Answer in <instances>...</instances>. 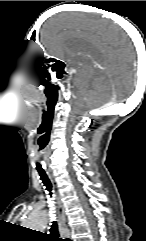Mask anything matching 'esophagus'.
I'll return each mask as SVG.
<instances>
[{"instance_id":"1","label":"esophagus","mask_w":146,"mask_h":241,"mask_svg":"<svg viewBox=\"0 0 146 241\" xmlns=\"http://www.w3.org/2000/svg\"><path fill=\"white\" fill-rule=\"evenodd\" d=\"M49 179L51 180L54 188L56 189V183L52 174H49ZM56 200H57V220H58L59 227L63 228L66 222L64 206L57 190H56Z\"/></svg>"}]
</instances>
